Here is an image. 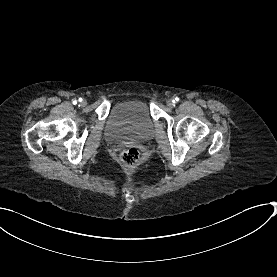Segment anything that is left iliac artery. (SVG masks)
<instances>
[{
  "label": "left iliac artery",
  "mask_w": 277,
  "mask_h": 277,
  "mask_svg": "<svg viewBox=\"0 0 277 277\" xmlns=\"http://www.w3.org/2000/svg\"><path fill=\"white\" fill-rule=\"evenodd\" d=\"M178 101H179V98L176 97L175 100H174V102H178Z\"/></svg>",
  "instance_id": "44dca946"
}]
</instances>
